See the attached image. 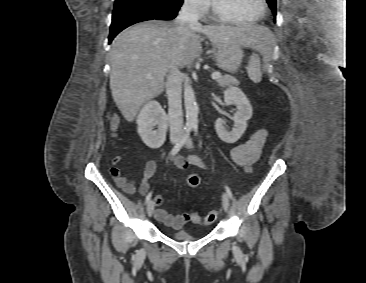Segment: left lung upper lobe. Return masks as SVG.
<instances>
[{
  "mask_svg": "<svg viewBox=\"0 0 366 283\" xmlns=\"http://www.w3.org/2000/svg\"><path fill=\"white\" fill-rule=\"evenodd\" d=\"M274 16H276V0H266Z\"/></svg>",
  "mask_w": 366,
  "mask_h": 283,
  "instance_id": "1",
  "label": "left lung upper lobe"
}]
</instances>
